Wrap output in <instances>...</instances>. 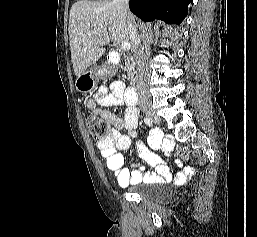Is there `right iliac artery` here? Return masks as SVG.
Listing matches in <instances>:
<instances>
[{
  "label": "right iliac artery",
  "instance_id": "82829eb1",
  "mask_svg": "<svg viewBox=\"0 0 257 237\" xmlns=\"http://www.w3.org/2000/svg\"><path fill=\"white\" fill-rule=\"evenodd\" d=\"M144 122L147 124V125H150V123H151V121H150V119L148 118V117H145L144 118ZM157 132H158V130L156 129V130H152V133L155 135V134H157Z\"/></svg>",
  "mask_w": 257,
  "mask_h": 237
}]
</instances>
